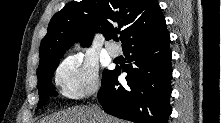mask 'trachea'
<instances>
[{
  "mask_svg": "<svg viewBox=\"0 0 221 123\" xmlns=\"http://www.w3.org/2000/svg\"><path fill=\"white\" fill-rule=\"evenodd\" d=\"M115 40H116V41H119V39H118V38H116Z\"/></svg>",
  "mask_w": 221,
  "mask_h": 123,
  "instance_id": "1",
  "label": "trachea"
}]
</instances>
